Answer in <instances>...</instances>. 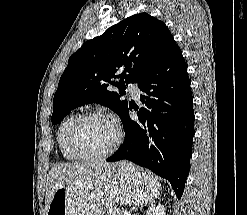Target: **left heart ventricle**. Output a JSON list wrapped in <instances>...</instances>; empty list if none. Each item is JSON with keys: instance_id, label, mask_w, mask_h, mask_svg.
Listing matches in <instances>:
<instances>
[{"instance_id": "b2bd125f", "label": "left heart ventricle", "mask_w": 247, "mask_h": 215, "mask_svg": "<svg viewBox=\"0 0 247 215\" xmlns=\"http://www.w3.org/2000/svg\"><path fill=\"white\" fill-rule=\"evenodd\" d=\"M116 130L114 125L103 119L84 121L77 132V143L81 151L97 154L106 151L114 142Z\"/></svg>"}]
</instances>
